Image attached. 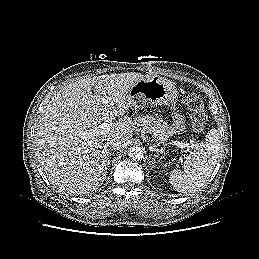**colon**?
<instances>
[{
	"mask_svg": "<svg viewBox=\"0 0 259 259\" xmlns=\"http://www.w3.org/2000/svg\"><path fill=\"white\" fill-rule=\"evenodd\" d=\"M185 103L192 117V127L195 131H201L207 121V115L204 110V104L199 95L195 93H187L185 95Z\"/></svg>",
	"mask_w": 259,
	"mask_h": 259,
	"instance_id": "1",
	"label": "colon"
}]
</instances>
